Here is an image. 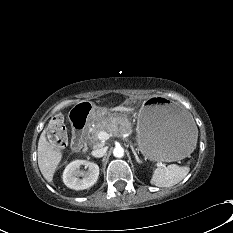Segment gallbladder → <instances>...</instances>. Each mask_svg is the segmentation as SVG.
Returning a JSON list of instances; mask_svg holds the SVG:
<instances>
[{"mask_svg": "<svg viewBox=\"0 0 233 233\" xmlns=\"http://www.w3.org/2000/svg\"><path fill=\"white\" fill-rule=\"evenodd\" d=\"M64 135H65V133H64V132H62V133H61V136H64Z\"/></svg>", "mask_w": 233, "mask_h": 233, "instance_id": "bac80fb5", "label": "gallbladder"}]
</instances>
